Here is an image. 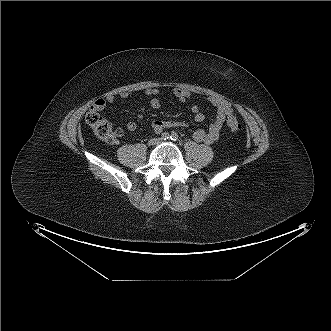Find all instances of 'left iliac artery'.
Listing matches in <instances>:
<instances>
[{
    "mask_svg": "<svg viewBox=\"0 0 331 331\" xmlns=\"http://www.w3.org/2000/svg\"><path fill=\"white\" fill-rule=\"evenodd\" d=\"M170 139L172 140V141H176V140H178V135H177V133H172L171 134V136H170Z\"/></svg>",
    "mask_w": 331,
    "mask_h": 331,
    "instance_id": "left-iliac-artery-1",
    "label": "left iliac artery"
}]
</instances>
